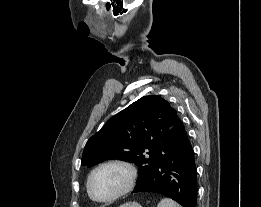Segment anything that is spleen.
Here are the masks:
<instances>
[{
    "label": "spleen",
    "instance_id": "1",
    "mask_svg": "<svg viewBox=\"0 0 261 207\" xmlns=\"http://www.w3.org/2000/svg\"><path fill=\"white\" fill-rule=\"evenodd\" d=\"M157 207H181V206H179L176 202H174L169 198H164L158 203Z\"/></svg>",
    "mask_w": 261,
    "mask_h": 207
}]
</instances>
